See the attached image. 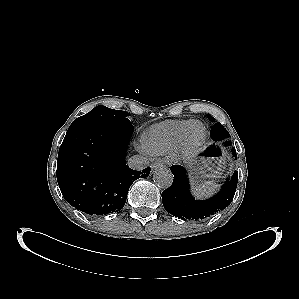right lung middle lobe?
I'll return each mask as SVG.
<instances>
[{"label": "right lung middle lobe", "instance_id": "1", "mask_svg": "<svg viewBox=\"0 0 299 299\" xmlns=\"http://www.w3.org/2000/svg\"><path fill=\"white\" fill-rule=\"evenodd\" d=\"M127 116L128 113L125 111L114 110L99 105L89 113L75 119L68 130L99 126L130 125L131 123Z\"/></svg>", "mask_w": 299, "mask_h": 299}]
</instances>
